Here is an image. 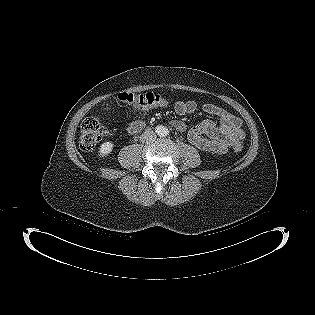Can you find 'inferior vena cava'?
I'll return each instance as SVG.
<instances>
[{
    "label": "inferior vena cava",
    "mask_w": 315,
    "mask_h": 315,
    "mask_svg": "<svg viewBox=\"0 0 315 315\" xmlns=\"http://www.w3.org/2000/svg\"><path fill=\"white\" fill-rule=\"evenodd\" d=\"M140 138L142 142H147L156 139V134L154 131H145Z\"/></svg>",
    "instance_id": "1"
}]
</instances>
